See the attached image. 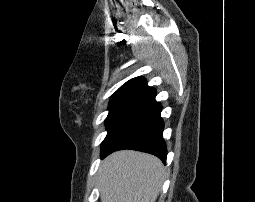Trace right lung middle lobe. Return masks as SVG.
<instances>
[{
    "mask_svg": "<svg viewBox=\"0 0 255 202\" xmlns=\"http://www.w3.org/2000/svg\"><path fill=\"white\" fill-rule=\"evenodd\" d=\"M136 114L134 113H114L109 114L106 119L107 136L101 145V154L107 149L108 145L122 127Z\"/></svg>",
    "mask_w": 255,
    "mask_h": 202,
    "instance_id": "dd1d6c3e",
    "label": "right lung middle lobe"
}]
</instances>
